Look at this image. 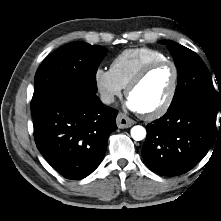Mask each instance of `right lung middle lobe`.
Instances as JSON below:
<instances>
[{"label":"right lung middle lobe","mask_w":221,"mask_h":221,"mask_svg":"<svg viewBox=\"0 0 221 221\" xmlns=\"http://www.w3.org/2000/svg\"><path fill=\"white\" fill-rule=\"evenodd\" d=\"M106 52L99 45L72 42L50 54L35 75L32 114L53 95L66 90L95 95L96 72Z\"/></svg>","instance_id":"1"}]
</instances>
